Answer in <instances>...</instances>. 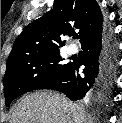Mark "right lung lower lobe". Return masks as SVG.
<instances>
[{
	"label": "right lung lower lobe",
	"instance_id": "98d812e1",
	"mask_svg": "<svg viewBox=\"0 0 122 123\" xmlns=\"http://www.w3.org/2000/svg\"><path fill=\"white\" fill-rule=\"evenodd\" d=\"M81 45L84 50L83 61H74L61 77L40 89L62 92L71 100H80L85 96L98 100L108 95L115 76L116 45L102 36V28L87 37ZM80 65L85 66L83 75L78 71Z\"/></svg>",
	"mask_w": 122,
	"mask_h": 123
}]
</instances>
